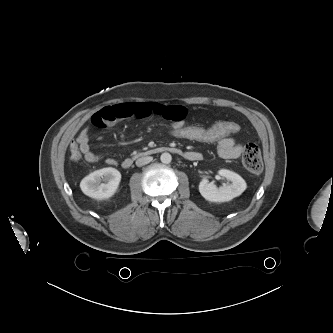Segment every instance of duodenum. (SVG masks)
Returning <instances> with one entry per match:
<instances>
[{
    "label": "duodenum",
    "instance_id": "obj_1",
    "mask_svg": "<svg viewBox=\"0 0 333 333\" xmlns=\"http://www.w3.org/2000/svg\"><path fill=\"white\" fill-rule=\"evenodd\" d=\"M163 152H170V153H173V154H182L189 160L198 158V155L195 154V153H191V152L183 153L179 148L172 147V146H157V147L149 148L146 151H143V152L139 153V156L140 157H147V156L160 154V153H163ZM132 164H133V158L128 157L122 162V167L125 168V169H128L132 166Z\"/></svg>",
    "mask_w": 333,
    "mask_h": 333
}]
</instances>
